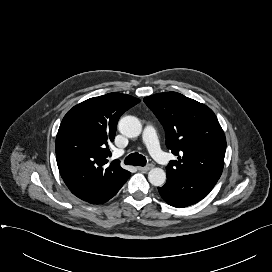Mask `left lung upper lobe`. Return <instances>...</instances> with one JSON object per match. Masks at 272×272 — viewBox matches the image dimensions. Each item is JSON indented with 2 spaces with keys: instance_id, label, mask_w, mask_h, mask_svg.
Returning <instances> with one entry per match:
<instances>
[{
  "instance_id": "1",
  "label": "left lung upper lobe",
  "mask_w": 272,
  "mask_h": 272,
  "mask_svg": "<svg viewBox=\"0 0 272 272\" xmlns=\"http://www.w3.org/2000/svg\"><path fill=\"white\" fill-rule=\"evenodd\" d=\"M164 127L166 145L178 161L166 167L167 177L190 174L218 181L224 166L226 138L214 112L180 93H158L144 98Z\"/></svg>"
}]
</instances>
